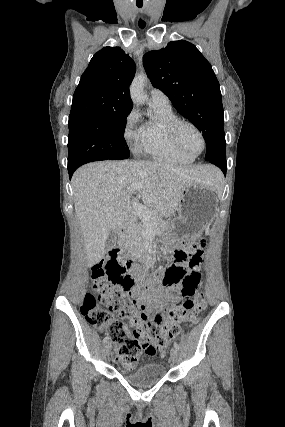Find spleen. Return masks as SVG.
Returning a JSON list of instances; mask_svg holds the SVG:
<instances>
[{
    "instance_id": "1",
    "label": "spleen",
    "mask_w": 285,
    "mask_h": 427,
    "mask_svg": "<svg viewBox=\"0 0 285 427\" xmlns=\"http://www.w3.org/2000/svg\"><path fill=\"white\" fill-rule=\"evenodd\" d=\"M216 189L218 192L222 191V189H223V183H222V176L221 175H219V177H218V184L216 186Z\"/></svg>"
}]
</instances>
